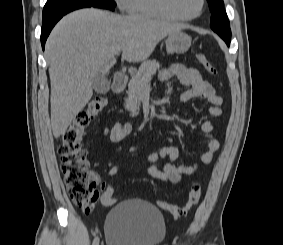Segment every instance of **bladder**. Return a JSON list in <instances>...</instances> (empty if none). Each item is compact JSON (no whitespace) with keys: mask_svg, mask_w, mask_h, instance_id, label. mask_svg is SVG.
<instances>
[{"mask_svg":"<svg viewBox=\"0 0 283 245\" xmlns=\"http://www.w3.org/2000/svg\"><path fill=\"white\" fill-rule=\"evenodd\" d=\"M107 245H162L166 225L161 211L141 199L124 200L108 212Z\"/></svg>","mask_w":283,"mask_h":245,"instance_id":"obj_1","label":"bladder"}]
</instances>
